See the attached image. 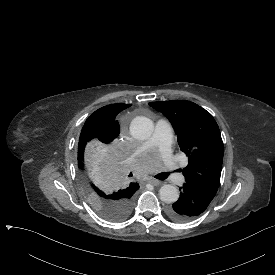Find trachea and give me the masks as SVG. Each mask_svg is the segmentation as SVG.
Listing matches in <instances>:
<instances>
[{"instance_id":"obj_1","label":"trachea","mask_w":275,"mask_h":275,"mask_svg":"<svg viewBox=\"0 0 275 275\" xmlns=\"http://www.w3.org/2000/svg\"><path fill=\"white\" fill-rule=\"evenodd\" d=\"M176 172L175 170L171 171V172H163L160 174H157L155 177L159 180H165L166 178H168V176H170V174ZM129 176H132V173L129 174Z\"/></svg>"}]
</instances>
